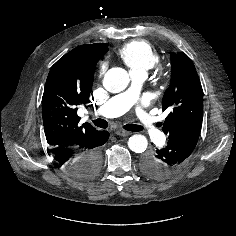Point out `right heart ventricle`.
<instances>
[{
	"label": "right heart ventricle",
	"instance_id": "e07e8e85",
	"mask_svg": "<svg viewBox=\"0 0 236 236\" xmlns=\"http://www.w3.org/2000/svg\"><path fill=\"white\" fill-rule=\"evenodd\" d=\"M117 54L131 73H146L159 62L160 58L157 50L145 40L130 41L124 44Z\"/></svg>",
	"mask_w": 236,
	"mask_h": 236
}]
</instances>
